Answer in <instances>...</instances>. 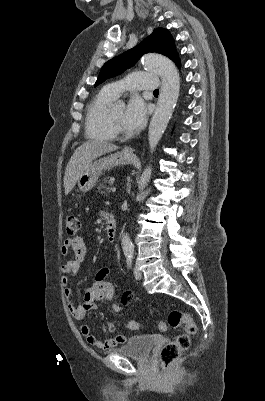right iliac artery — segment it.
Segmentation results:
<instances>
[{
    "label": "right iliac artery",
    "mask_w": 265,
    "mask_h": 401,
    "mask_svg": "<svg viewBox=\"0 0 265 401\" xmlns=\"http://www.w3.org/2000/svg\"><path fill=\"white\" fill-rule=\"evenodd\" d=\"M131 261H132V258H131V257H128V258H127V264H128L129 267H130V265H131Z\"/></svg>",
    "instance_id": "1"
}]
</instances>
